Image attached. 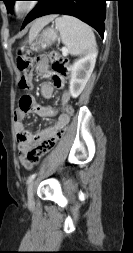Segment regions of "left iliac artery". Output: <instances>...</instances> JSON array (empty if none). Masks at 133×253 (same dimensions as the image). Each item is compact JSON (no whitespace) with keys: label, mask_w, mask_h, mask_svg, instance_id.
<instances>
[{"label":"left iliac artery","mask_w":133,"mask_h":253,"mask_svg":"<svg viewBox=\"0 0 133 253\" xmlns=\"http://www.w3.org/2000/svg\"><path fill=\"white\" fill-rule=\"evenodd\" d=\"M36 176H37V173H33L32 175H30L29 178H28V183L32 182L33 179H35Z\"/></svg>","instance_id":"1"}]
</instances>
